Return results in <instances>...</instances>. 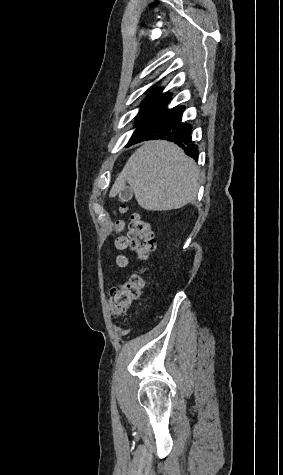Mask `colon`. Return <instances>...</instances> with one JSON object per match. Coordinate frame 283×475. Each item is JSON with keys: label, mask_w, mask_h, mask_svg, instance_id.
<instances>
[{"label": "colon", "mask_w": 283, "mask_h": 475, "mask_svg": "<svg viewBox=\"0 0 283 475\" xmlns=\"http://www.w3.org/2000/svg\"><path fill=\"white\" fill-rule=\"evenodd\" d=\"M125 211V207L121 208ZM130 231L128 238L119 233L112 243L115 252V260L121 267L128 264L127 257L123 254L126 249L132 252L140 260H148L154 250V238L147 222L137 213L130 219ZM115 228L120 230L121 223L117 221ZM143 287V278L132 275L128 279L114 285L109 292V304L113 314L117 317L127 315L130 307L139 299Z\"/></svg>", "instance_id": "5ec220e1"}]
</instances>
